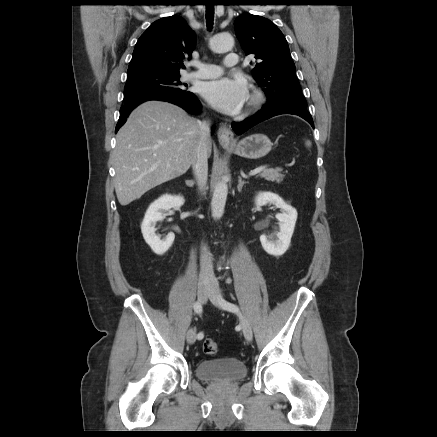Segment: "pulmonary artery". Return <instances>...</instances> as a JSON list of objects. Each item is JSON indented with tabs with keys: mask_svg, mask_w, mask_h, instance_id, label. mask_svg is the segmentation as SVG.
I'll return each mask as SVG.
<instances>
[{
	"mask_svg": "<svg viewBox=\"0 0 437 437\" xmlns=\"http://www.w3.org/2000/svg\"><path fill=\"white\" fill-rule=\"evenodd\" d=\"M238 64V55L236 53H228L224 60L226 67H235ZM197 70L189 74L191 78L211 79L220 76L223 70L220 66L207 63L196 64Z\"/></svg>",
	"mask_w": 437,
	"mask_h": 437,
	"instance_id": "obj_1",
	"label": "pulmonary artery"
}]
</instances>
